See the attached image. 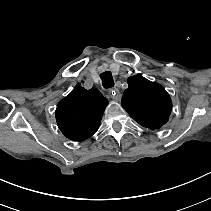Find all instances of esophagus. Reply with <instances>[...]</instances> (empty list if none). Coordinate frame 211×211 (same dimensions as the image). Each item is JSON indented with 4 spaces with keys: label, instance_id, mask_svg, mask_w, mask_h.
Instances as JSON below:
<instances>
[{
    "label": "esophagus",
    "instance_id": "1",
    "mask_svg": "<svg viewBox=\"0 0 211 211\" xmlns=\"http://www.w3.org/2000/svg\"><path fill=\"white\" fill-rule=\"evenodd\" d=\"M109 94L114 100H117V101H120V99L122 97L120 91L117 88L110 90Z\"/></svg>",
    "mask_w": 211,
    "mask_h": 211
}]
</instances>
